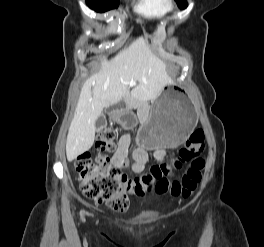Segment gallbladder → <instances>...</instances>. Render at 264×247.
Segmentation results:
<instances>
[{
	"mask_svg": "<svg viewBox=\"0 0 264 247\" xmlns=\"http://www.w3.org/2000/svg\"><path fill=\"white\" fill-rule=\"evenodd\" d=\"M101 114L102 115H99L100 117H98V119L95 121V127H97V131H100V128H104L107 123L105 120L104 113Z\"/></svg>",
	"mask_w": 264,
	"mask_h": 247,
	"instance_id": "1",
	"label": "gallbladder"
}]
</instances>
